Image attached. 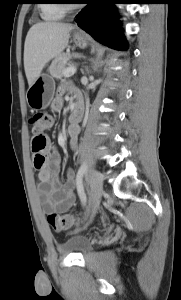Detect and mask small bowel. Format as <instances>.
I'll use <instances>...</instances> for the list:
<instances>
[{"instance_id":"obj_1","label":"small bowel","mask_w":181,"mask_h":300,"mask_svg":"<svg viewBox=\"0 0 181 300\" xmlns=\"http://www.w3.org/2000/svg\"><path fill=\"white\" fill-rule=\"evenodd\" d=\"M62 92V90H61ZM63 99L58 95L51 103V109L55 112L63 107ZM70 135V147L75 149L77 146V136L79 125L68 127ZM44 161L38 165L36 159L40 155L34 154V166L38 170V193L42 200V207L45 213L63 212L70 209L76 200L75 197V174L69 169L66 172L65 180L59 179L60 155L51 148L42 153Z\"/></svg>"}]
</instances>
